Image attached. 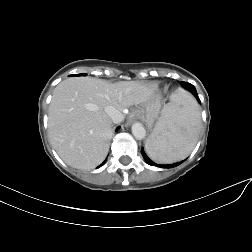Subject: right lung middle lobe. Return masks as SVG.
I'll return each mask as SVG.
<instances>
[{
	"instance_id": "dd1d6c3e",
	"label": "right lung middle lobe",
	"mask_w": 252,
	"mask_h": 252,
	"mask_svg": "<svg viewBox=\"0 0 252 252\" xmlns=\"http://www.w3.org/2000/svg\"><path fill=\"white\" fill-rule=\"evenodd\" d=\"M86 74H78V75H72V76H85Z\"/></svg>"
}]
</instances>
